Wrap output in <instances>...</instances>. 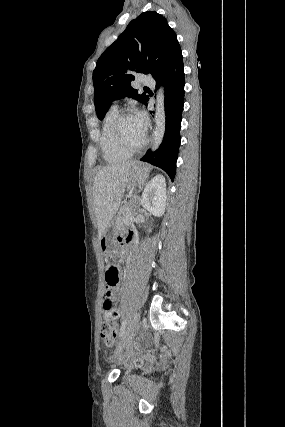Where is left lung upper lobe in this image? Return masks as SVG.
<instances>
[{
  "mask_svg": "<svg viewBox=\"0 0 285 427\" xmlns=\"http://www.w3.org/2000/svg\"><path fill=\"white\" fill-rule=\"evenodd\" d=\"M181 52L176 33L157 12H144L100 56L93 71L94 105L102 120L111 103L130 97L147 105L149 97L131 86L134 74L159 78Z\"/></svg>",
  "mask_w": 285,
  "mask_h": 427,
  "instance_id": "5c2ea615",
  "label": "left lung upper lobe"
}]
</instances>
